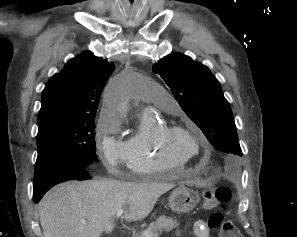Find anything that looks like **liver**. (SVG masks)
<instances>
[{
	"label": "liver",
	"instance_id": "6515ba94",
	"mask_svg": "<svg viewBox=\"0 0 297 237\" xmlns=\"http://www.w3.org/2000/svg\"><path fill=\"white\" fill-rule=\"evenodd\" d=\"M173 187L168 183L114 180L59 184L38 204L43 237H100L102 232H112L111 218L120 209L125 210L127 222L142 220L158 198Z\"/></svg>",
	"mask_w": 297,
	"mask_h": 237
}]
</instances>
